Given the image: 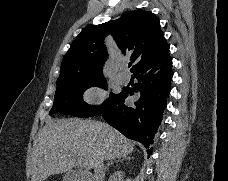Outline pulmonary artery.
Instances as JSON below:
<instances>
[{
    "instance_id": "e3ab8cb5",
    "label": "pulmonary artery",
    "mask_w": 228,
    "mask_h": 181,
    "mask_svg": "<svg viewBox=\"0 0 228 181\" xmlns=\"http://www.w3.org/2000/svg\"><path fill=\"white\" fill-rule=\"evenodd\" d=\"M120 79H121L122 81H126L128 78H127V77L121 76Z\"/></svg>"
}]
</instances>
